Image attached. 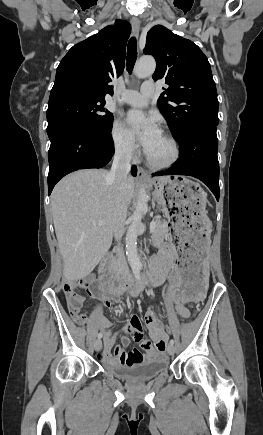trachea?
<instances>
[{
	"label": "trachea",
	"mask_w": 263,
	"mask_h": 435,
	"mask_svg": "<svg viewBox=\"0 0 263 435\" xmlns=\"http://www.w3.org/2000/svg\"><path fill=\"white\" fill-rule=\"evenodd\" d=\"M137 59V43H136V38L132 37L129 42H128V46H127V71L129 73L132 72L133 67L135 65Z\"/></svg>",
	"instance_id": "obj_1"
}]
</instances>
